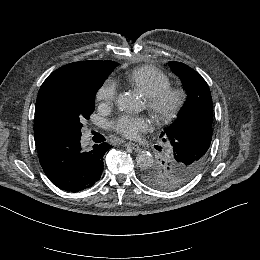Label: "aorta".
Returning a JSON list of instances; mask_svg holds the SVG:
<instances>
[{"label":"aorta","instance_id":"1","mask_svg":"<svg viewBox=\"0 0 260 260\" xmlns=\"http://www.w3.org/2000/svg\"><path fill=\"white\" fill-rule=\"evenodd\" d=\"M116 104L121 111H138L140 108L137 98L128 92L119 94ZM136 163L140 168L146 169L154 163V158L149 152H141L136 156Z\"/></svg>","mask_w":260,"mask_h":260}]
</instances>
